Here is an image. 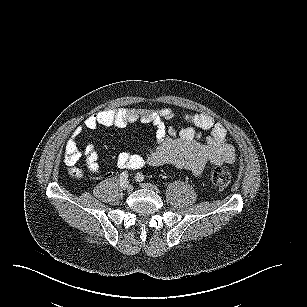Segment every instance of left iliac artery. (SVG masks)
Wrapping results in <instances>:
<instances>
[{
    "label": "left iliac artery",
    "mask_w": 307,
    "mask_h": 307,
    "mask_svg": "<svg viewBox=\"0 0 307 307\" xmlns=\"http://www.w3.org/2000/svg\"><path fill=\"white\" fill-rule=\"evenodd\" d=\"M136 180L142 182L144 180V175L142 173H138L136 175Z\"/></svg>",
    "instance_id": "obj_1"
}]
</instances>
